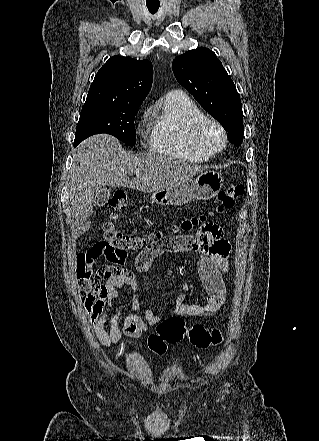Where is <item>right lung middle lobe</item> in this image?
Wrapping results in <instances>:
<instances>
[{
    "mask_svg": "<svg viewBox=\"0 0 319 441\" xmlns=\"http://www.w3.org/2000/svg\"><path fill=\"white\" fill-rule=\"evenodd\" d=\"M140 105L85 103L77 124L74 147L87 137L107 133L125 144L136 143L134 118Z\"/></svg>",
    "mask_w": 319,
    "mask_h": 441,
    "instance_id": "obj_1",
    "label": "right lung middle lobe"
}]
</instances>
